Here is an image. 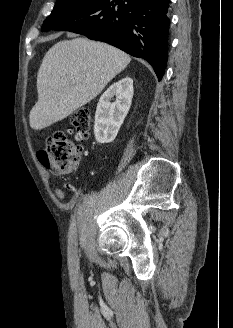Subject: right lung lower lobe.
I'll return each mask as SVG.
<instances>
[{"instance_id":"98d812e1","label":"right lung lower lobe","mask_w":233,"mask_h":328,"mask_svg":"<svg viewBox=\"0 0 233 328\" xmlns=\"http://www.w3.org/2000/svg\"><path fill=\"white\" fill-rule=\"evenodd\" d=\"M169 0H96L49 28L111 44L147 60L161 80L168 59Z\"/></svg>"}]
</instances>
